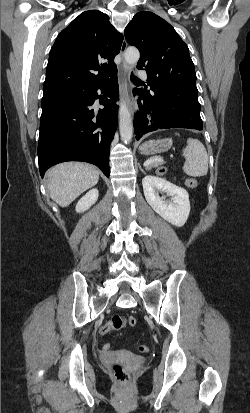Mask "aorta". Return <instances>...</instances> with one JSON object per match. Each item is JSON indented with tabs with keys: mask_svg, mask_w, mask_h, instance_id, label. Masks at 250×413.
I'll use <instances>...</instances> for the list:
<instances>
[{
	"mask_svg": "<svg viewBox=\"0 0 250 413\" xmlns=\"http://www.w3.org/2000/svg\"><path fill=\"white\" fill-rule=\"evenodd\" d=\"M140 58L139 50L135 47H129L124 53L126 65H134ZM119 130L120 136L124 143H129L133 136V124L131 114L125 101H121L119 108Z\"/></svg>",
	"mask_w": 250,
	"mask_h": 413,
	"instance_id": "762f6f07",
	"label": "aorta"
}]
</instances>
